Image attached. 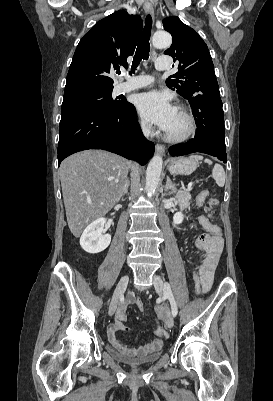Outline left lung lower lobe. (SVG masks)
<instances>
[{
    "label": "left lung lower lobe",
    "mask_w": 273,
    "mask_h": 401,
    "mask_svg": "<svg viewBox=\"0 0 273 401\" xmlns=\"http://www.w3.org/2000/svg\"><path fill=\"white\" fill-rule=\"evenodd\" d=\"M187 99L198 127L195 138L187 143L170 147V155L181 156L201 152L216 156L225 163L224 113L220 96L198 94Z\"/></svg>",
    "instance_id": "0a47b994"
}]
</instances>
